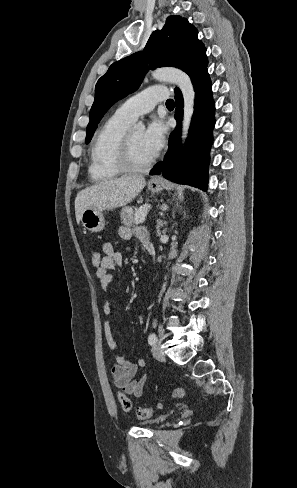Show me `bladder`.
Here are the masks:
<instances>
[{"instance_id":"obj_1","label":"bladder","mask_w":297,"mask_h":488,"mask_svg":"<svg viewBox=\"0 0 297 488\" xmlns=\"http://www.w3.org/2000/svg\"><path fill=\"white\" fill-rule=\"evenodd\" d=\"M168 418H169L168 414H163V415H160V416L146 422L145 424H147L149 426H157V425H160L163 422H165Z\"/></svg>"}]
</instances>
